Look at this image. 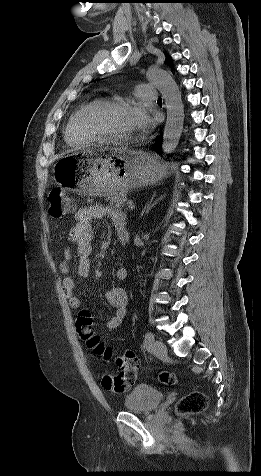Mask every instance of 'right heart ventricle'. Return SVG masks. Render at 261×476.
Returning <instances> with one entry per match:
<instances>
[{"label": "right heart ventricle", "mask_w": 261, "mask_h": 476, "mask_svg": "<svg viewBox=\"0 0 261 476\" xmlns=\"http://www.w3.org/2000/svg\"><path fill=\"white\" fill-rule=\"evenodd\" d=\"M83 107L84 106L78 108L75 112H73V114L69 117L65 127V131H64L65 141L71 147H81L93 142L83 138L77 129V125H76L77 117Z\"/></svg>", "instance_id": "right-heart-ventricle-1"}]
</instances>
